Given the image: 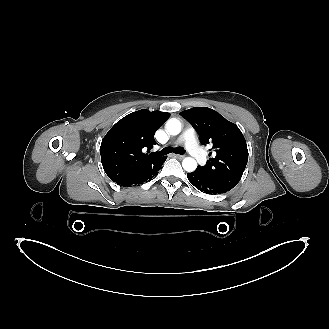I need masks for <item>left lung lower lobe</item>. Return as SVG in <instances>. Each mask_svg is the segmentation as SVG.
I'll return each instance as SVG.
<instances>
[{
	"label": "left lung lower lobe",
	"mask_w": 329,
	"mask_h": 329,
	"mask_svg": "<svg viewBox=\"0 0 329 329\" xmlns=\"http://www.w3.org/2000/svg\"><path fill=\"white\" fill-rule=\"evenodd\" d=\"M187 177L192 185L207 194L216 195L226 193L232 189L226 185L208 178L205 174L197 170L191 173H187Z\"/></svg>",
	"instance_id": "left-lung-lower-lobe-1"
}]
</instances>
